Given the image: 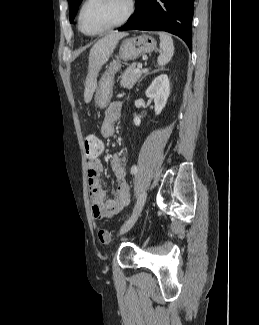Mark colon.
Wrapping results in <instances>:
<instances>
[{
    "label": "colon",
    "mask_w": 259,
    "mask_h": 325,
    "mask_svg": "<svg viewBox=\"0 0 259 325\" xmlns=\"http://www.w3.org/2000/svg\"><path fill=\"white\" fill-rule=\"evenodd\" d=\"M84 147L86 153H92L96 150H103L104 144L102 138H97L94 135H87L84 140ZM97 238L103 245H108L111 241V235L107 229L99 228L97 230Z\"/></svg>",
    "instance_id": "obj_1"
}]
</instances>
